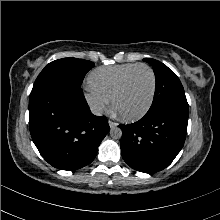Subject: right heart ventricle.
Returning a JSON list of instances; mask_svg holds the SVG:
<instances>
[{"mask_svg":"<svg viewBox=\"0 0 220 220\" xmlns=\"http://www.w3.org/2000/svg\"><path fill=\"white\" fill-rule=\"evenodd\" d=\"M137 63L104 66L94 69L87 78L90 88L111 99L113 92L124 75L136 66Z\"/></svg>","mask_w":220,"mask_h":220,"instance_id":"1","label":"right heart ventricle"}]
</instances>
